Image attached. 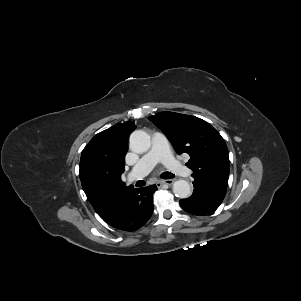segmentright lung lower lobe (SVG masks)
Instances as JSON below:
<instances>
[{"label":"right lung lower lobe","instance_id":"98d812e1","mask_svg":"<svg viewBox=\"0 0 301 301\" xmlns=\"http://www.w3.org/2000/svg\"><path fill=\"white\" fill-rule=\"evenodd\" d=\"M156 185L144 188H131L124 196L115 214L106 222L116 229L135 231L142 227L151 217L153 193Z\"/></svg>","mask_w":301,"mask_h":301}]
</instances>
